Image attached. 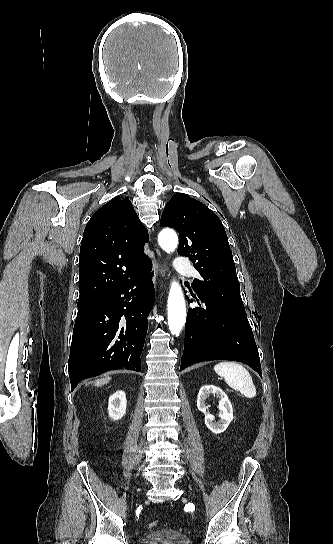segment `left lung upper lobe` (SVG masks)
I'll return each mask as SVG.
<instances>
[{
	"label": "left lung upper lobe",
	"mask_w": 333,
	"mask_h": 544,
	"mask_svg": "<svg viewBox=\"0 0 333 544\" xmlns=\"http://www.w3.org/2000/svg\"><path fill=\"white\" fill-rule=\"evenodd\" d=\"M161 226L177 230L178 254L188 256L202 279H194L197 295L247 319L228 238L219 217L186 194L174 195L164 208Z\"/></svg>",
	"instance_id": "1"
}]
</instances>
